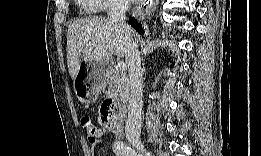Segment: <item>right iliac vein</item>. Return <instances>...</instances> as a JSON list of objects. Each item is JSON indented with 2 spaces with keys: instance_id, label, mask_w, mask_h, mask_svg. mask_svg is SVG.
Listing matches in <instances>:
<instances>
[{
  "instance_id": "63e3f726",
  "label": "right iliac vein",
  "mask_w": 261,
  "mask_h": 156,
  "mask_svg": "<svg viewBox=\"0 0 261 156\" xmlns=\"http://www.w3.org/2000/svg\"><path fill=\"white\" fill-rule=\"evenodd\" d=\"M135 147H136L137 150L141 151L142 153H144V154L147 155V156H151V155H152L151 152L148 151V150L144 147V145H143L142 143H140V142H136V143H135Z\"/></svg>"
}]
</instances>
